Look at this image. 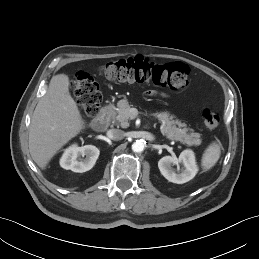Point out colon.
<instances>
[{"instance_id":"colon-1","label":"colon","mask_w":259,"mask_h":259,"mask_svg":"<svg viewBox=\"0 0 259 259\" xmlns=\"http://www.w3.org/2000/svg\"><path fill=\"white\" fill-rule=\"evenodd\" d=\"M101 75L112 81L124 83L151 82L154 85L180 90L188 85L189 69L181 62L155 63L147 58L120 59L108 62L101 67ZM72 89L77 103L88 117H94L99 110L102 95L98 83L92 75L79 71L72 81ZM204 126L214 130L219 126L217 111L206 109L202 113Z\"/></svg>"}]
</instances>
